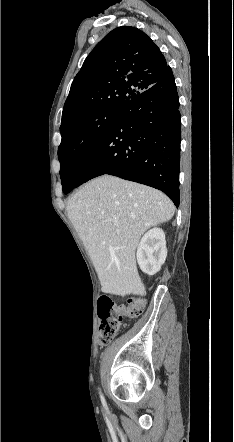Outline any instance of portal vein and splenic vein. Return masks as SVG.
<instances>
[{
    "label": "portal vein and splenic vein",
    "mask_w": 234,
    "mask_h": 442,
    "mask_svg": "<svg viewBox=\"0 0 234 442\" xmlns=\"http://www.w3.org/2000/svg\"><path fill=\"white\" fill-rule=\"evenodd\" d=\"M115 225L118 226V223L116 222Z\"/></svg>",
    "instance_id": "portal-vein-and-splenic-vein-1"
}]
</instances>
